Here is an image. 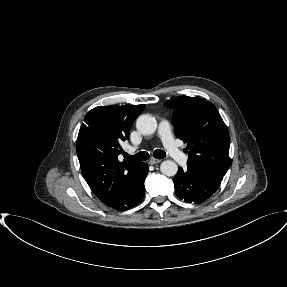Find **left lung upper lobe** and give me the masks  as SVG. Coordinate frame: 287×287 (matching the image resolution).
<instances>
[{
  "label": "left lung upper lobe",
  "instance_id": "left-lung-upper-lobe-1",
  "mask_svg": "<svg viewBox=\"0 0 287 287\" xmlns=\"http://www.w3.org/2000/svg\"><path fill=\"white\" fill-rule=\"evenodd\" d=\"M173 109L176 136L187 143L188 168L223 177L230 164L229 133L214 104L179 96L164 103Z\"/></svg>",
  "mask_w": 287,
  "mask_h": 287
}]
</instances>
